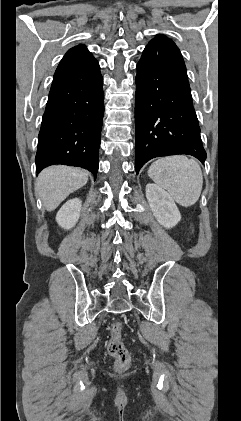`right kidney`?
I'll return each mask as SVG.
<instances>
[{"label":"right kidney","instance_id":"1","mask_svg":"<svg viewBox=\"0 0 241 421\" xmlns=\"http://www.w3.org/2000/svg\"><path fill=\"white\" fill-rule=\"evenodd\" d=\"M81 207L82 202L80 199L75 198L68 200L56 215L57 223L66 230L71 229L75 226L80 217Z\"/></svg>","mask_w":241,"mask_h":421}]
</instances>
